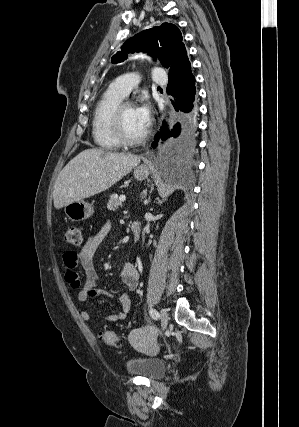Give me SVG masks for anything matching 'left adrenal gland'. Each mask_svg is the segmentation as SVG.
I'll return each mask as SVG.
<instances>
[{"mask_svg": "<svg viewBox=\"0 0 299 427\" xmlns=\"http://www.w3.org/2000/svg\"><path fill=\"white\" fill-rule=\"evenodd\" d=\"M149 201H150V198H149V200L147 201V203H149Z\"/></svg>", "mask_w": 299, "mask_h": 427, "instance_id": "obj_1", "label": "left adrenal gland"}]
</instances>
